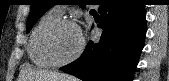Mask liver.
Instances as JSON below:
<instances>
[{
    "label": "liver",
    "mask_w": 169,
    "mask_h": 81,
    "mask_svg": "<svg viewBox=\"0 0 169 81\" xmlns=\"http://www.w3.org/2000/svg\"><path fill=\"white\" fill-rule=\"evenodd\" d=\"M23 71H25L23 81H76L74 77L63 73L38 70L29 66H26Z\"/></svg>",
    "instance_id": "obj_1"
}]
</instances>
